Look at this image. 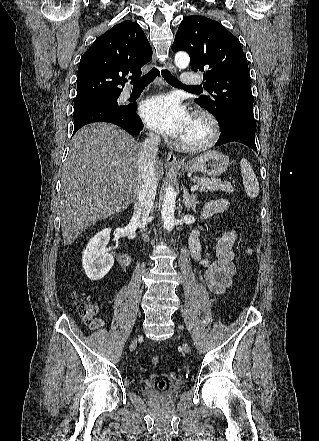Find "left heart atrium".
I'll list each match as a JSON object with an SVG mask.
<instances>
[{
    "label": "left heart atrium",
    "instance_id": "obj_1",
    "mask_svg": "<svg viewBox=\"0 0 319 441\" xmlns=\"http://www.w3.org/2000/svg\"><path fill=\"white\" fill-rule=\"evenodd\" d=\"M140 113L151 129L173 138H181L192 121L187 109L177 97L170 94L144 100L140 105Z\"/></svg>",
    "mask_w": 319,
    "mask_h": 441
}]
</instances>
